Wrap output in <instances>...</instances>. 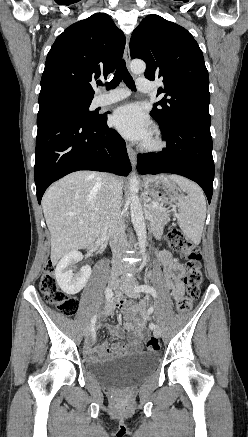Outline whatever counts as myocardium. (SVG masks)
<instances>
[{
	"mask_svg": "<svg viewBox=\"0 0 248 437\" xmlns=\"http://www.w3.org/2000/svg\"><path fill=\"white\" fill-rule=\"evenodd\" d=\"M166 146L165 141L161 137L158 131H154L153 134L142 144V149L146 152H160Z\"/></svg>",
	"mask_w": 248,
	"mask_h": 437,
	"instance_id": "f54148a6",
	"label": "myocardium"
}]
</instances>
